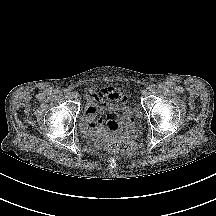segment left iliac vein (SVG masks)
<instances>
[{
    "label": "left iliac vein",
    "instance_id": "1",
    "mask_svg": "<svg viewBox=\"0 0 216 216\" xmlns=\"http://www.w3.org/2000/svg\"><path fill=\"white\" fill-rule=\"evenodd\" d=\"M149 93H150V92H149L148 89H145V90L142 91V95H143V96H147V95H149Z\"/></svg>",
    "mask_w": 216,
    "mask_h": 216
}]
</instances>
